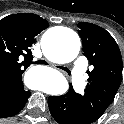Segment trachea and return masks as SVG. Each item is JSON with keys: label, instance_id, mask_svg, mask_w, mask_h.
I'll use <instances>...</instances> for the list:
<instances>
[{"label": "trachea", "instance_id": "obj_1", "mask_svg": "<svg viewBox=\"0 0 124 124\" xmlns=\"http://www.w3.org/2000/svg\"><path fill=\"white\" fill-rule=\"evenodd\" d=\"M62 69H63L64 71H66V72L70 75L71 72L69 71V69L64 68V67H63Z\"/></svg>", "mask_w": 124, "mask_h": 124}]
</instances>
